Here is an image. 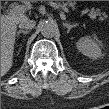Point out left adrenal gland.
<instances>
[{
  "mask_svg": "<svg viewBox=\"0 0 109 109\" xmlns=\"http://www.w3.org/2000/svg\"><path fill=\"white\" fill-rule=\"evenodd\" d=\"M78 24L75 23V24H70V23H63V26L67 27V33L70 32V30L74 27H76Z\"/></svg>",
  "mask_w": 109,
  "mask_h": 109,
  "instance_id": "1",
  "label": "left adrenal gland"
}]
</instances>
